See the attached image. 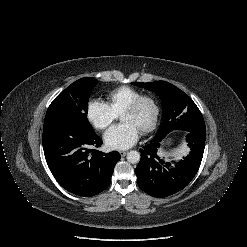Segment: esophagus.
<instances>
[{"mask_svg": "<svg viewBox=\"0 0 247 247\" xmlns=\"http://www.w3.org/2000/svg\"><path fill=\"white\" fill-rule=\"evenodd\" d=\"M120 155L123 157L127 154V151H119Z\"/></svg>", "mask_w": 247, "mask_h": 247, "instance_id": "1", "label": "esophagus"}]
</instances>
